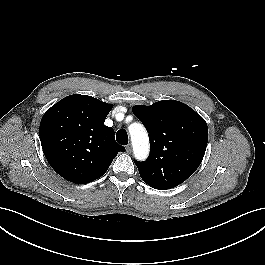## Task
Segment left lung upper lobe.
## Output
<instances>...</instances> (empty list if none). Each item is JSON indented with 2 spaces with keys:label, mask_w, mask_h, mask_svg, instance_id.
Wrapping results in <instances>:
<instances>
[{
  "label": "left lung upper lobe",
  "mask_w": 265,
  "mask_h": 265,
  "mask_svg": "<svg viewBox=\"0 0 265 265\" xmlns=\"http://www.w3.org/2000/svg\"><path fill=\"white\" fill-rule=\"evenodd\" d=\"M133 112L147 128L151 141L147 160L135 161L141 178L159 190L183 183L203 160L208 141L205 120L176 100L137 105Z\"/></svg>",
  "instance_id": "5c2ea615"
}]
</instances>
